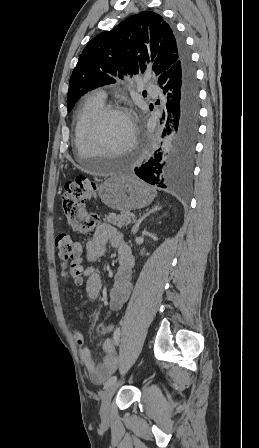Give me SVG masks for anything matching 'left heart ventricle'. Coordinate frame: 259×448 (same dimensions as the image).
Segmentation results:
<instances>
[{"label":"left heart ventricle","mask_w":259,"mask_h":448,"mask_svg":"<svg viewBox=\"0 0 259 448\" xmlns=\"http://www.w3.org/2000/svg\"><path fill=\"white\" fill-rule=\"evenodd\" d=\"M132 134V126L126 118L120 115L107 117L97 132V142L105 149L85 148L82 152L83 163L93 158L103 159L121 154L129 147Z\"/></svg>","instance_id":"1"}]
</instances>
